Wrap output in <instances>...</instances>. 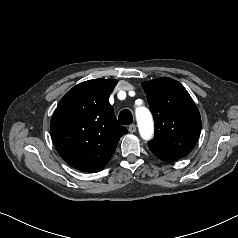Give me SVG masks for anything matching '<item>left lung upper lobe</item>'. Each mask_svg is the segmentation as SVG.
Segmentation results:
<instances>
[{
	"instance_id": "obj_1",
	"label": "left lung upper lobe",
	"mask_w": 238,
	"mask_h": 238,
	"mask_svg": "<svg viewBox=\"0 0 238 238\" xmlns=\"http://www.w3.org/2000/svg\"><path fill=\"white\" fill-rule=\"evenodd\" d=\"M142 87L155 120L150 150L175 160L188 155L198 141L201 118L187 90L168 77L144 82Z\"/></svg>"
}]
</instances>
